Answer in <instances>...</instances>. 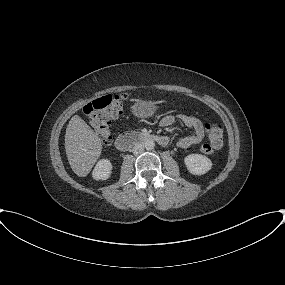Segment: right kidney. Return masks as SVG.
Returning a JSON list of instances; mask_svg holds the SVG:
<instances>
[{
    "instance_id": "ca27d5eb",
    "label": "right kidney",
    "mask_w": 285,
    "mask_h": 285,
    "mask_svg": "<svg viewBox=\"0 0 285 285\" xmlns=\"http://www.w3.org/2000/svg\"><path fill=\"white\" fill-rule=\"evenodd\" d=\"M112 163L108 159H101L93 169L92 177L95 180H107L112 173Z\"/></svg>"
}]
</instances>
